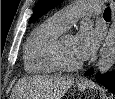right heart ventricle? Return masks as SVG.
Listing matches in <instances>:
<instances>
[{
	"label": "right heart ventricle",
	"instance_id": "right-heart-ventricle-1",
	"mask_svg": "<svg viewBox=\"0 0 115 99\" xmlns=\"http://www.w3.org/2000/svg\"><path fill=\"white\" fill-rule=\"evenodd\" d=\"M65 28L51 19L37 26L24 45L25 71L31 75H49L59 71L52 58V48Z\"/></svg>",
	"mask_w": 115,
	"mask_h": 99
}]
</instances>
